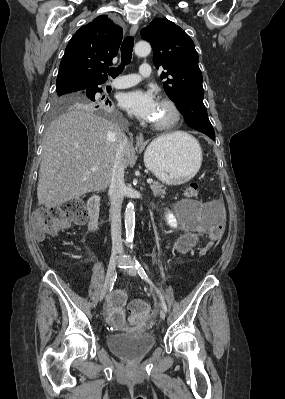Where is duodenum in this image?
Instances as JSON below:
<instances>
[{
  "instance_id": "410a0bca",
  "label": "duodenum",
  "mask_w": 285,
  "mask_h": 399,
  "mask_svg": "<svg viewBox=\"0 0 285 399\" xmlns=\"http://www.w3.org/2000/svg\"><path fill=\"white\" fill-rule=\"evenodd\" d=\"M88 226L92 232L100 231V198L93 196L88 201Z\"/></svg>"
}]
</instances>
